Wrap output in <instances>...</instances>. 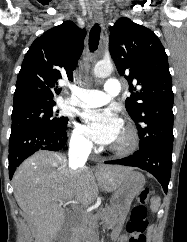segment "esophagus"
<instances>
[{
	"instance_id": "obj_1",
	"label": "esophagus",
	"mask_w": 187,
	"mask_h": 242,
	"mask_svg": "<svg viewBox=\"0 0 187 242\" xmlns=\"http://www.w3.org/2000/svg\"><path fill=\"white\" fill-rule=\"evenodd\" d=\"M95 18H96V20H97L100 24H103L104 19H103V14H102V12H97V13L95 14Z\"/></svg>"
}]
</instances>
